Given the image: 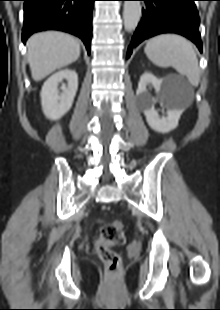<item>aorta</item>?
<instances>
[{"label":"aorta","instance_id":"aorta-1","mask_svg":"<svg viewBox=\"0 0 220 310\" xmlns=\"http://www.w3.org/2000/svg\"><path fill=\"white\" fill-rule=\"evenodd\" d=\"M141 17V2L140 1H125L123 10V20L125 29L128 32L133 31Z\"/></svg>","mask_w":220,"mask_h":310}]
</instances>
